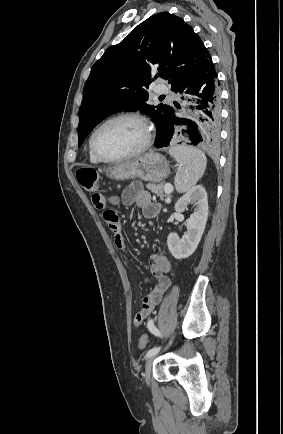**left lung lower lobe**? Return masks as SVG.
<instances>
[{
  "label": "left lung lower lobe",
  "instance_id": "obj_1",
  "mask_svg": "<svg viewBox=\"0 0 283 434\" xmlns=\"http://www.w3.org/2000/svg\"><path fill=\"white\" fill-rule=\"evenodd\" d=\"M172 91L195 96L192 116L178 117L173 109L163 134L156 140V148L168 146L175 128L184 127L182 132L187 134L191 145L216 149L220 143L221 98L212 59Z\"/></svg>",
  "mask_w": 283,
  "mask_h": 434
}]
</instances>
